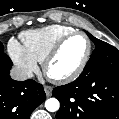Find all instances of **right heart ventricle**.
I'll return each mask as SVG.
<instances>
[{"label": "right heart ventricle", "instance_id": "right-heart-ventricle-1", "mask_svg": "<svg viewBox=\"0 0 119 119\" xmlns=\"http://www.w3.org/2000/svg\"><path fill=\"white\" fill-rule=\"evenodd\" d=\"M75 31L66 25H49L21 34V39L28 53L37 61L43 62L47 54L64 35Z\"/></svg>", "mask_w": 119, "mask_h": 119}]
</instances>
